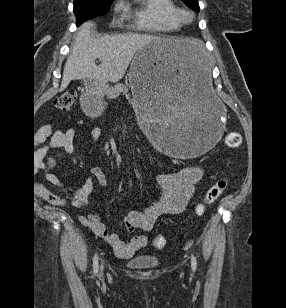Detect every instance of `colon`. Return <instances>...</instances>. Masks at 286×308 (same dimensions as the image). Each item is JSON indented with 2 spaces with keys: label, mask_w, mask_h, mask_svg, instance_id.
I'll list each match as a JSON object with an SVG mask.
<instances>
[{
  "label": "colon",
  "mask_w": 286,
  "mask_h": 308,
  "mask_svg": "<svg viewBox=\"0 0 286 308\" xmlns=\"http://www.w3.org/2000/svg\"><path fill=\"white\" fill-rule=\"evenodd\" d=\"M77 94L74 90H67L58 95L54 100L55 107L62 112H70L73 110ZM225 144L229 148H238L242 144V136L238 132H229L225 137ZM229 185V179L226 177L219 178L213 183L205 193L203 202L195 207L197 215H202L205 212L206 204L215 202ZM166 240L162 235H157L153 239V246L161 249L165 247Z\"/></svg>",
  "instance_id": "obj_1"
}]
</instances>
